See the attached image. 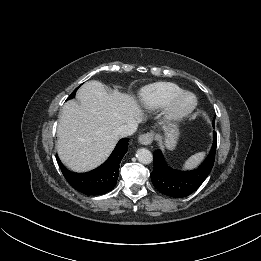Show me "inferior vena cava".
Segmentation results:
<instances>
[{
  "mask_svg": "<svg viewBox=\"0 0 261 261\" xmlns=\"http://www.w3.org/2000/svg\"><path fill=\"white\" fill-rule=\"evenodd\" d=\"M137 127V121H129L127 124H124L119 128L118 133L121 137L131 136L136 132Z\"/></svg>",
  "mask_w": 261,
  "mask_h": 261,
  "instance_id": "1",
  "label": "inferior vena cava"
}]
</instances>
